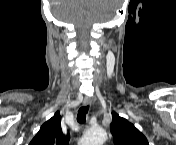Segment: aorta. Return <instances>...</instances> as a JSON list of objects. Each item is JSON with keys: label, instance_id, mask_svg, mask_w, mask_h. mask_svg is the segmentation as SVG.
Wrapping results in <instances>:
<instances>
[{"label": "aorta", "instance_id": "1", "mask_svg": "<svg viewBox=\"0 0 176 145\" xmlns=\"http://www.w3.org/2000/svg\"><path fill=\"white\" fill-rule=\"evenodd\" d=\"M106 140V131L102 127H93L85 133L82 143L84 145H103Z\"/></svg>", "mask_w": 176, "mask_h": 145}]
</instances>
